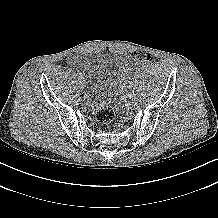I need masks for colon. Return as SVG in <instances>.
Segmentation results:
<instances>
[{
  "label": "colon",
  "mask_w": 218,
  "mask_h": 218,
  "mask_svg": "<svg viewBox=\"0 0 218 218\" xmlns=\"http://www.w3.org/2000/svg\"><path fill=\"white\" fill-rule=\"evenodd\" d=\"M136 58L139 62L146 63L150 60V54L146 51H139L136 54ZM95 115L98 122L103 125H109L115 117V111L108 104L101 105L97 108Z\"/></svg>",
  "instance_id": "obj_1"
}]
</instances>
